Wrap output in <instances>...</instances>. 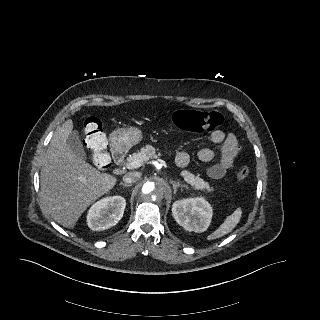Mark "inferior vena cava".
<instances>
[{
    "label": "inferior vena cava",
    "instance_id": "inferior-vena-cava-1",
    "mask_svg": "<svg viewBox=\"0 0 320 320\" xmlns=\"http://www.w3.org/2000/svg\"><path fill=\"white\" fill-rule=\"evenodd\" d=\"M141 177V173L139 172H128L124 175L123 181L125 183L131 184L136 182Z\"/></svg>",
    "mask_w": 320,
    "mask_h": 320
}]
</instances>
